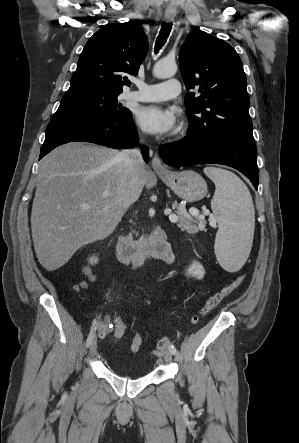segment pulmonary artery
Wrapping results in <instances>:
<instances>
[{
	"mask_svg": "<svg viewBox=\"0 0 299 443\" xmlns=\"http://www.w3.org/2000/svg\"><path fill=\"white\" fill-rule=\"evenodd\" d=\"M136 85L138 91L131 93L130 97L141 102L170 100L181 92V85L177 79H169L163 83L152 85L136 81Z\"/></svg>",
	"mask_w": 299,
	"mask_h": 443,
	"instance_id": "obj_1",
	"label": "pulmonary artery"
}]
</instances>
